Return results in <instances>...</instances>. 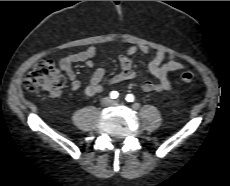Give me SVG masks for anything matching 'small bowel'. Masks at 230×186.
Returning a JSON list of instances; mask_svg holds the SVG:
<instances>
[{"mask_svg": "<svg viewBox=\"0 0 230 186\" xmlns=\"http://www.w3.org/2000/svg\"><path fill=\"white\" fill-rule=\"evenodd\" d=\"M138 52L149 54L150 48L145 45L130 46L124 53L120 54L118 61L121 71L111 76L107 83L115 85L122 81L132 80L136 78L137 74L133 68V56ZM98 54L95 47H87L79 52L68 54L59 60L61 69L65 72L72 91H77L81 88V82L78 79L73 64L82 62L90 69L95 67L94 58ZM183 68V63L177 59L176 56L169 54L162 50H157L151 58L148 69L150 74L156 78V81L147 80L142 83V90L144 92H164L172 89V84L169 80V73L179 71ZM106 71L103 67L94 69L89 83L84 88V93L87 96H94L102 92V80L104 79ZM60 95V93L55 96Z\"/></svg>", "mask_w": 230, "mask_h": 186, "instance_id": "1", "label": "small bowel"}]
</instances>
